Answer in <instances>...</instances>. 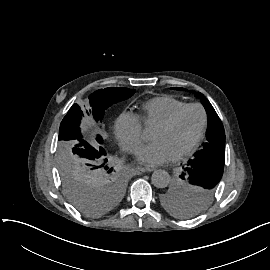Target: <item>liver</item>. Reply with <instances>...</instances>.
<instances>
[{
    "mask_svg": "<svg viewBox=\"0 0 270 270\" xmlns=\"http://www.w3.org/2000/svg\"><path fill=\"white\" fill-rule=\"evenodd\" d=\"M82 129L84 132H86L88 129L92 130V134L89 135L91 142L95 141V134L96 133H100L102 134V131L97 127L95 121L93 120L92 117H87L84 119L82 125H81Z\"/></svg>",
    "mask_w": 270,
    "mask_h": 270,
    "instance_id": "liver-1",
    "label": "liver"
}]
</instances>
